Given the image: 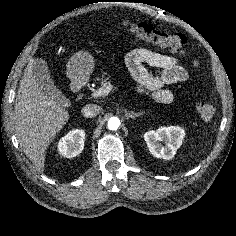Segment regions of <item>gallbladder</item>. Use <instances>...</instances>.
I'll return each mask as SVG.
<instances>
[{"instance_id": "gallbladder-1", "label": "gallbladder", "mask_w": 236, "mask_h": 236, "mask_svg": "<svg viewBox=\"0 0 236 236\" xmlns=\"http://www.w3.org/2000/svg\"><path fill=\"white\" fill-rule=\"evenodd\" d=\"M33 75L39 84L40 90L43 94L54 98L60 103H63V94L54 85L51 79L47 63L41 59L37 58L33 64Z\"/></svg>"}]
</instances>
